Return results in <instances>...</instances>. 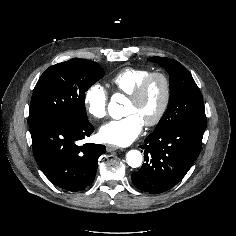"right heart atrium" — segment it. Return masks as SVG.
<instances>
[{"label": "right heart atrium", "instance_id": "d8ad5b80", "mask_svg": "<svg viewBox=\"0 0 236 236\" xmlns=\"http://www.w3.org/2000/svg\"><path fill=\"white\" fill-rule=\"evenodd\" d=\"M84 105L88 114L94 119H102L107 114L108 94L105 88L94 83L84 93Z\"/></svg>", "mask_w": 236, "mask_h": 236}]
</instances>
